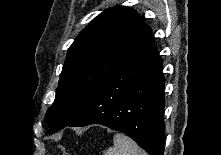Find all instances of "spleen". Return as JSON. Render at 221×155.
<instances>
[{
	"label": "spleen",
	"instance_id": "1",
	"mask_svg": "<svg viewBox=\"0 0 221 155\" xmlns=\"http://www.w3.org/2000/svg\"><path fill=\"white\" fill-rule=\"evenodd\" d=\"M113 143L112 147L103 151V155H146L131 138L124 134H115Z\"/></svg>",
	"mask_w": 221,
	"mask_h": 155
}]
</instances>
